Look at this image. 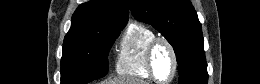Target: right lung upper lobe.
<instances>
[{
  "mask_svg": "<svg viewBox=\"0 0 260 84\" xmlns=\"http://www.w3.org/2000/svg\"><path fill=\"white\" fill-rule=\"evenodd\" d=\"M126 0H91L81 4L72 16V25L64 42L90 39L105 26L126 25L128 21Z\"/></svg>",
  "mask_w": 260,
  "mask_h": 84,
  "instance_id": "1",
  "label": "right lung upper lobe"
}]
</instances>
